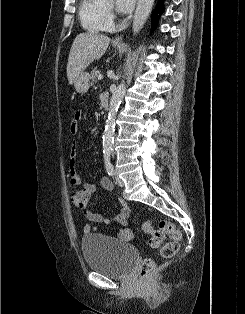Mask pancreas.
I'll use <instances>...</instances> for the list:
<instances>
[{
    "label": "pancreas",
    "mask_w": 245,
    "mask_h": 314,
    "mask_svg": "<svg viewBox=\"0 0 245 314\" xmlns=\"http://www.w3.org/2000/svg\"><path fill=\"white\" fill-rule=\"evenodd\" d=\"M98 75H99V70L97 68H94L91 71V75H90L91 85L95 84V82L97 81Z\"/></svg>",
    "instance_id": "pancreas-1"
}]
</instances>
